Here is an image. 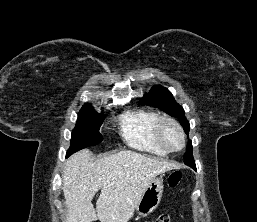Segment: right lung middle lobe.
Here are the masks:
<instances>
[{"label": "right lung middle lobe", "mask_w": 257, "mask_h": 222, "mask_svg": "<svg viewBox=\"0 0 257 222\" xmlns=\"http://www.w3.org/2000/svg\"><path fill=\"white\" fill-rule=\"evenodd\" d=\"M104 121V114L97 113L89 104L84 105L78 114L76 126L72 132L71 145L67 156L72 153L94 146L102 141L99 129Z\"/></svg>", "instance_id": "obj_1"}]
</instances>
